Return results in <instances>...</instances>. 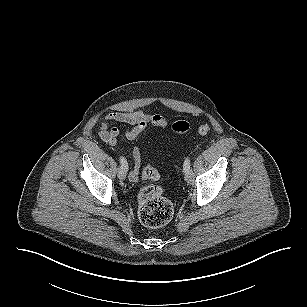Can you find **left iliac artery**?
<instances>
[{"mask_svg":"<svg viewBox=\"0 0 307 307\" xmlns=\"http://www.w3.org/2000/svg\"><path fill=\"white\" fill-rule=\"evenodd\" d=\"M190 168V158L187 157L184 161L183 169L184 171L188 170Z\"/></svg>","mask_w":307,"mask_h":307,"instance_id":"obj_1","label":"left iliac artery"}]
</instances>
